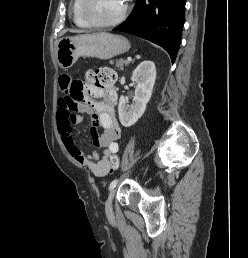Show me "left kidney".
Wrapping results in <instances>:
<instances>
[{
  "mask_svg": "<svg viewBox=\"0 0 248 258\" xmlns=\"http://www.w3.org/2000/svg\"><path fill=\"white\" fill-rule=\"evenodd\" d=\"M155 79L156 69L153 61H142L133 71L131 80L137 85L133 104L128 106V100L121 96L118 105L119 120L124 127L132 126L144 114Z\"/></svg>",
  "mask_w": 248,
  "mask_h": 258,
  "instance_id": "5707ae66",
  "label": "left kidney"
}]
</instances>
